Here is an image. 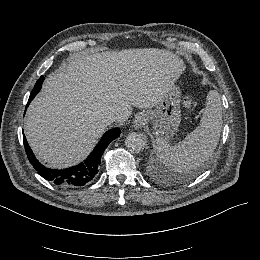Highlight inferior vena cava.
<instances>
[{
    "instance_id": "602c4592",
    "label": "inferior vena cava",
    "mask_w": 260,
    "mask_h": 260,
    "mask_svg": "<svg viewBox=\"0 0 260 260\" xmlns=\"http://www.w3.org/2000/svg\"><path fill=\"white\" fill-rule=\"evenodd\" d=\"M119 120V116L118 114H115L113 112H108L105 116H104V124L106 126H109L112 122L114 121H118Z\"/></svg>"
}]
</instances>
